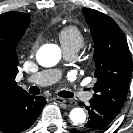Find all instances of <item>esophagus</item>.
Wrapping results in <instances>:
<instances>
[{
  "label": "esophagus",
  "mask_w": 133,
  "mask_h": 133,
  "mask_svg": "<svg viewBox=\"0 0 133 133\" xmlns=\"http://www.w3.org/2000/svg\"><path fill=\"white\" fill-rule=\"evenodd\" d=\"M53 100L57 103H60V104L66 103V100L64 98H61V97H54Z\"/></svg>",
  "instance_id": "1"
}]
</instances>
